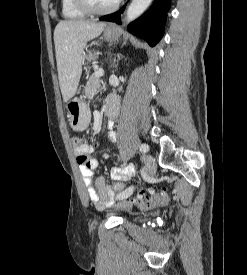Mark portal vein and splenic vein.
<instances>
[{"label": "portal vein and splenic vein", "mask_w": 247, "mask_h": 275, "mask_svg": "<svg viewBox=\"0 0 247 275\" xmlns=\"http://www.w3.org/2000/svg\"><path fill=\"white\" fill-rule=\"evenodd\" d=\"M96 76H103L104 75V70L103 69H98L94 72Z\"/></svg>", "instance_id": "1"}]
</instances>
